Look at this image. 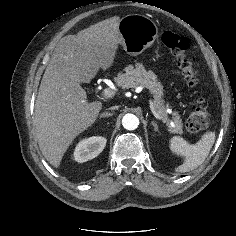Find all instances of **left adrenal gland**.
<instances>
[{
	"label": "left adrenal gland",
	"mask_w": 236,
	"mask_h": 236,
	"mask_svg": "<svg viewBox=\"0 0 236 236\" xmlns=\"http://www.w3.org/2000/svg\"><path fill=\"white\" fill-rule=\"evenodd\" d=\"M152 125L154 126V130L158 131V126H157V124L154 121L152 122Z\"/></svg>",
	"instance_id": "obj_1"
}]
</instances>
